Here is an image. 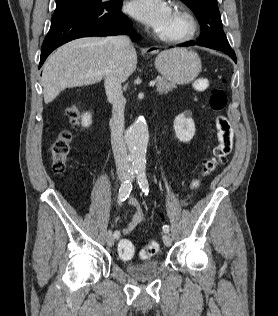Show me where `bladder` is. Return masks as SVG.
<instances>
[{"mask_svg": "<svg viewBox=\"0 0 278 316\" xmlns=\"http://www.w3.org/2000/svg\"><path fill=\"white\" fill-rule=\"evenodd\" d=\"M160 268V262L157 259L149 260L139 264H127L125 270L133 277L144 279L155 275Z\"/></svg>", "mask_w": 278, "mask_h": 316, "instance_id": "1", "label": "bladder"}]
</instances>
